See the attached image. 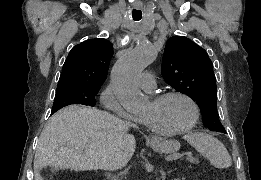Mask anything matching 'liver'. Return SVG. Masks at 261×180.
Segmentation results:
<instances>
[{
	"label": "liver",
	"mask_w": 261,
	"mask_h": 180,
	"mask_svg": "<svg viewBox=\"0 0 261 180\" xmlns=\"http://www.w3.org/2000/svg\"><path fill=\"white\" fill-rule=\"evenodd\" d=\"M136 140L113 114L96 108L68 106L56 112L38 140L35 180L43 168L55 170H117L118 160L132 158Z\"/></svg>",
	"instance_id": "liver-1"
}]
</instances>
